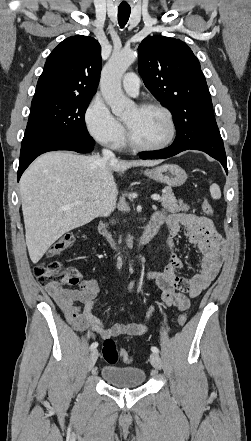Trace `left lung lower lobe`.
Instances as JSON below:
<instances>
[{"instance_id":"0a47b994","label":"left lung lower lobe","mask_w":251,"mask_h":441,"mask_svg":"<svg viewBox=\"0 0 251 441\" xmlns=\"http://www.w3.org/2000/svg\"><path fill=\"white\" fill-rule=\"evenodd\" d=\"M189 149L203 151L217 159L228 173L223 140L212 115H200L184 122L176 129V138L170 147L140 155V158L164 159Z\"/></svg>"}]
</instances>
